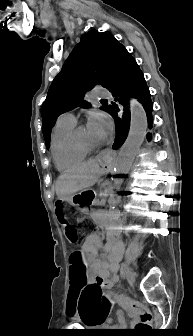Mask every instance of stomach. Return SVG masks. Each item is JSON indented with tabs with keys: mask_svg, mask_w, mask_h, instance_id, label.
<instances>
[{
	"mask_svg": "<svg viewBox=\"0 0 193 336\" xmlns=\"http://www.w3.org/2000/svg\"><path fill=\"white\" fill-rule=\"evenodd\" d=\"M111 161L112 157L110 156L101 157L99 158V165L105 172H107ZM93 198L94 195L89 190H82L81 192L72 195L70 201L73 205L80 207L81 212L86 214L88 212L87 206L91 204Z\"/></svg>",
	"mask_w": 193,
	"mask_h": 336,
	"instance_id": "stomach-1",
	"label": "stomach"
}]
</instances>
